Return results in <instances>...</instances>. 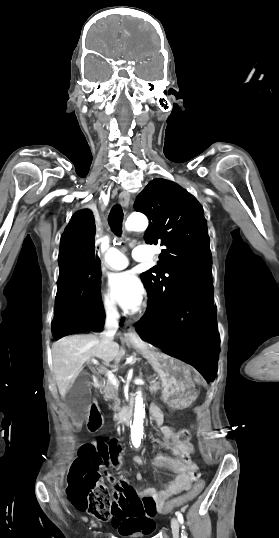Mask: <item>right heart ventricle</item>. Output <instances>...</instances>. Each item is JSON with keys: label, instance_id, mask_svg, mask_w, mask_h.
<instances>
[{"label": "right heart ventricle", "instance_id": "e07e8e85", "mask_svg": "<svg viewBox=\"0 0 279 538\" xmlns=\"http://www.w3.org/2000/svg\"><path fill=\"white\" fill-rule=\"evenodd\" d=\"M127 231H129V217L128 216L124 218L123 226L121 229L122 233H126Z\"/></svg>", "mask_w": 279, "mask_h": 538}]
</instances>
